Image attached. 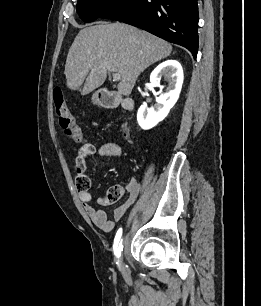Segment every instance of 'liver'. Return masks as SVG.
I'll use <instances>...</instances> for the list:
<instances>
[{"instance_id":"liver-1","label":"liver","mask_w":261,"mask_h":306,"mask_svg":"<svg viewBox=\"0 0 261 306\" xmlns=\"http://www.w3.org/2000/svg\"><path fill=\"white\" fill-rule=\"evenodd\" d=\"M172 46L166 41L123 23L99 24L79 31L65 64L67 87L87 95L106 80L107 72L119 73L117 86L131 94L138 76L150 65L168 57Z\"/></svg>"}]
</instances>
